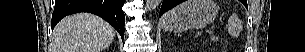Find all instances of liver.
<instances>
[{
	"mask_svg": "<svg viewBox=\"0 0 305 52\" xmlns=\"http://www.w3.org/2000/svg\"><path fill=\"white\" fill-rule=\"evenodd\" d=\"M115 37L114 28L90 13L62 19L54 29L52 52H101Z\"/></svg>",
	"mask_w": 305,
	"mask_h": 52,
	"instance_id": "liver-1",
	"label": "liver"
}]
</instances>
